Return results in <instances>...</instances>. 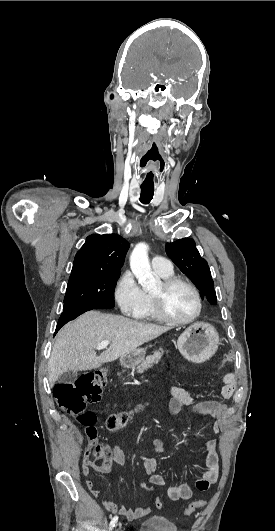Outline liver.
<instances>
[{
  "mask_svg": "<svg viewBox=\"0 0 275 531\" xmlns=\"http://www.w3.org/2000/svg\"><path fill=\"white\" fill-rule=\"evenodd\" d=\"M166 331H170V327L88 311L59 331L48 363L50 387H54L63 373L98 369L103 363L116 361ZM102 341H109L110 347L96 355V347Z\"/></svg>",
  "mask_w": 275,
  "mask_h": 531,
  "instance_id": "liver-1",
  "label": "liver"
}]
</instances>
